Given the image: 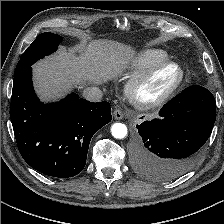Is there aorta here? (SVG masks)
<instances>
[{"label":"aorta","mask_w":224,"mask_h":224,"mask_svg":"<svg viewBox=\"0 0 224 224\" xmlns=\"http://www.w3.org/2000/svg\"><path fill=\"white\" fill-rule=\"evenodd\" d=\"M112 136L116 139H123L126 137L128 130L125 124L114 123L111 127Z\"/></svg>","instance_id":"1"}]
</instances>
